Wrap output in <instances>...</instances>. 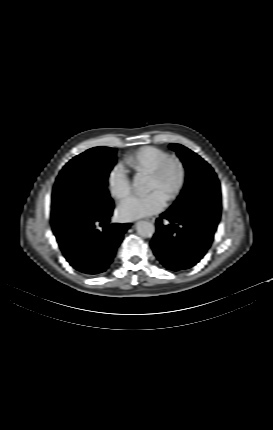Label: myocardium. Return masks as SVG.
I'll return each instance as SVG.
<instances>
[{"instance_id": "obj_1", "label": "myocardium", "mask_w": 273, "mask_h": 430, "mask_svg": "<svg viewBox=\"0 0 273 430\" xmlns=\"http://www.w3.org/2000/svg\"><path fill=\"white\" fill-rule=\"evenodd\" d=\"M171 170H176L177 179L175 184L168 190L166 194L165 198L169 202L176 200L185 187L187 171L183 162L176 157H170L150 174V177L161 182Z\"/></svg>"}]
</instances>
